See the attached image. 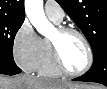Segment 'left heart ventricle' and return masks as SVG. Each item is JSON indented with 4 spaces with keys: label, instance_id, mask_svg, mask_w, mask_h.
Wrapping results in <instances>:
<instances>
[{
    "label": "left heart ventricle",
    "instance_id": "left-heart-ventricle-1",
    "mask_svg": "<svg viewBox=\"0 0 107 89\" xmlns=\"http://www.w3.org/2000/svg\"><path fill=\"white\" fill-rule=\"evenodd\" d=\"M51 39L57 41L61 58L70 71H79L86 65L87 50L77 35L67 34L58 37L55 31Z\"/></svg>",
    "mask_w": 107,
    "mask_h": 89
}]
</instances>
